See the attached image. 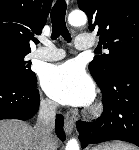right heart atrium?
<instances>
[{
    "instance_id": "right-heart-atrium-1",
    "label": "right heart atrium",
    "mask_w": 139,
    "mask_h": 150,
    "mask_svg": "<svg viewBox=\"0 0 139 150\" xmlns=\"http://www.w3.org/2000/svg\"><path fill=\"white\" fill-rule=\"evenodd\" d=\"M41 108L44 112L52 113L55 111V105L48 99L41 100Z\"/></svg>"
}]
</instances>
